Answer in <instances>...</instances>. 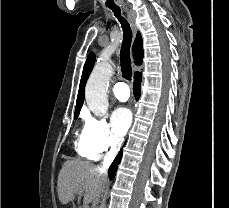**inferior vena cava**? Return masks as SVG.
<instances>
[{"label":"inferior vena cava","mask_w":229,"mask_h":208,"mask_svg":"<svg viewBox=\"0 0 229 208\" xmlns=\"http://www.w3.org/2000/svg\"><path fill=\"white\" fill-rule=\"evenodd\" d=\"M116 154H112V152H108L107 156H105L102 164L103 166H101V168H98V172L99 174H101V176H103V180L104 182H106V170H107V166H109V164H112L114 158H115Z\"/></svg>","instance_id":"602c4592"}]
</instances>
